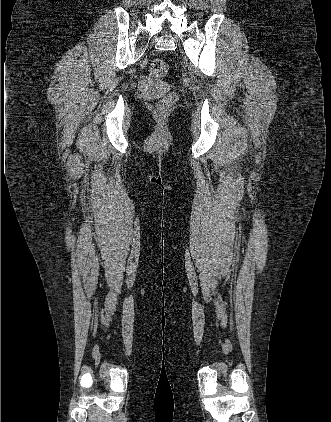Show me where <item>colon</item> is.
Instances as JSON below:
<instances>
[{"mask_svg":"<svg viewBox=\"0 0 331 422\" xmlns=\"http://www.w3.org/2000/svg\"><path fill=\"white\" fill-rule=\"evenodd\" d=\"M168 65L162 59H155L149 67V74L155 78H162L167 74ZM176 95L173 93L168 94L156 105L157 113H165L175 103Z\"/></svg>","mask_w":331,"mask_h":422,"instance_id":"obj_1","label":"colon"}]
</instances>
